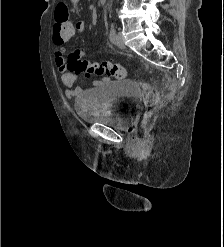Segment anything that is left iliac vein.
Masks as SVG:
<instances>
[{"mask_svg": "<svg viewBox=\"0 0 224 247\" xmlns=\"http://www.w3.org/2000/svg\"><path fill=\"white\" fill-rule=\"evenodd\" d=\"M115 44L121 49L125 48L124 38L120 32L116 34Z\"/></svg>", "mask_w": 224, "mask_h": 247, "instance_id": "1", "label": "left iliac vein"}]
</instances>
